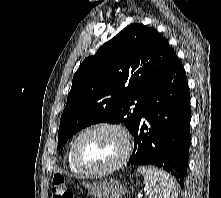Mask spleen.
Wrapping results in <instances>:
<instances>
[{"label":"spleen","mask_w":221,"mask_h":198,"mask_svg":"<svg viewBox=\"0 0 221 198\" xmlns=\"http://www.w3.org/2000/svg\"><path fill=\"white\" fill-rule=\"evenodd\" d=\"M148 198H177L176 183L165 171L152 166H141Z\"/></svg>","instance_id":"3e777b00"}]
</instances>
